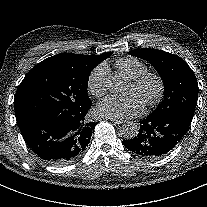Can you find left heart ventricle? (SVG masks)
<instances>
[{
	"label": "left heart ventricle",
	"mask_w": 207,
	"mask_h": 207,
	"mask_svg": "<svg viewBox=\"0 0 207 207\" xmlns=\"http://www.w3.org/2000/svg\"><path fill=\"white\" fill-rule=\"evenodd\" d=\"M130 92H133V93L137 94L144 101V103H145V100L148 97L153 96V94L155 92V85L152 84V83L149 84L143 92L135 91L134 88H133V86L131 85L129 93Z\"/></svg>",
	"instance_id": "obj_1"
}]
</instances>
